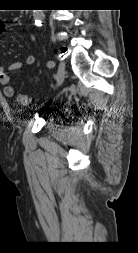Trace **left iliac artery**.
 <instances>
[{"instance_id":"left-iliac-artery-1","label":"left iliac artery","mask_w":138,"mask_h":253,"mask_svg":"<svg viewBox=\"0 0 138 253\" xmlns=\"http://www.w3.org/2000/svg\"><path fill=\"white\" fill-rule=\"evenodd\" d=\"M47 66H48V68H53L55 66V62L52 60L48 61Z\"/></svg>"}]
</instances>
